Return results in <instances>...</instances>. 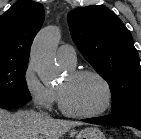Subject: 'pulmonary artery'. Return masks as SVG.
<instances>
[{"label": "pulmonary artery", "mask_w": 141, "mask_h": 139, "mask_svg": "<svg viewBox=\"0 0 141 139\" xmlns=\"http://www.w3.org/2000/svg\"><path fill=\"white\" fill-rule=\"evenodd\" d=\"M58 61L68 68L76 65V52L70 45H61L57 50Z\"/></svg>", "instance_id": "1"}]
</instances>
